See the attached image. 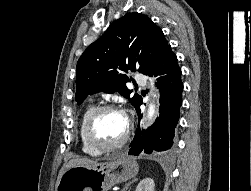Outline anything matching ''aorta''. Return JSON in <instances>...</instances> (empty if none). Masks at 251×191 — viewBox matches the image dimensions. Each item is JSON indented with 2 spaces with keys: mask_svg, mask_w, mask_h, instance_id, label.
I'll use <instances>...</instances> for the list:
<instances>
[{
  "mask_svg": "<svg viewBox=\"0 0 251 191\" xmlns=\"http://www.w3.org/2000/svg\"><path fill=\"white\" fill-rule=\"evenodd\" d=\"M154 113H155V105H154V103H149V107H148V117H149V119H152Z\"/></svg>",
  "mask_w": 251,
  "mask_h": 191,
  "instance_id": "762f6f07",
  "label": "aorta"
}]
</instances>
